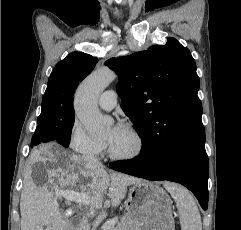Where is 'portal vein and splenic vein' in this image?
<instances>
[{"instance_id":"18ae733b","label":"portal vein and splenic vein","mask_w":241,"mask_h":230,"mask_svg":"<svg viewBox=\"0 0 241 230\" xmlns=\"http://www.w3.org/2000/svg\"><path fill=\"white\" fill-rule=\"evenodd\" d=\"M63 197H65L67 200L70 201H74L77 203H81L84 205H97L99 204L101 201L97 200V201H93L91 200L86 194L84 193H70L69 195H66L64 192H61V194ZM117 219H111L109 221H107L104 225L103 228H109L111 226H114L117 223Z\"/></svg>"}]
</instances>
